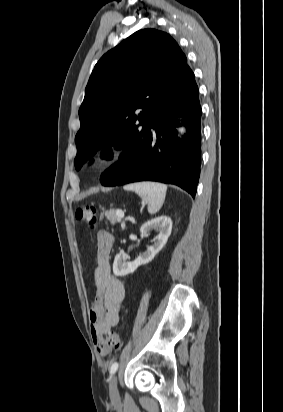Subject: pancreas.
<instances>
[{"label":"pancreas","instance_id":"1","mask_svg":"<svg viewBox=\"0 0 283 412\" xmlns=\"http://www.w3.org/2000/svg\"><path fill=\"white\" fill-rule=\"evenodd\" d=\"M106 218L110 221L112 225L116 222H120L121 219L116 215V210H110L105 213Z\"/></svg>","mask_w":283,"mask_h":412}]
</instances>
